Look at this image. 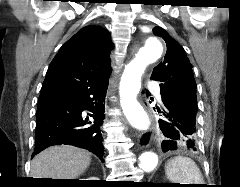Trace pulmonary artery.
<instances>
[{
  "label": "pulmonary artery",
  "mask_w": 240,
  "mask_h": 187,
  "mask_svg": "<svg viewBox=\"0 0 240 187\" xmlns=\"http://www.w3.org/2000/svg\"><path fill=\"white\" fill-rule=\"evenodd\" d=\"M149 88H150L151 90H153V91H156V92H157V98L160 100V99H161V97H160V95L158 94V89H159V86H158V84H157V83H155V82H150V83H149Z\"/></svg>",
  "instance_id": "1"
}]
</instances>
